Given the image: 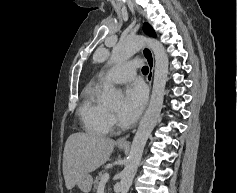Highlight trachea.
Returning a JSON list of instances; mask_svg holds the SVG:
<instances>
[{
	"label": "trachea",
	"instance_id": "trachea-1",
	"mask_svg": "<svg viewBox=\"0 0 237 193\" xmlns=\"http://www.w3.org/2000/svg\"><path fill=\"white\" fill-rule=\"evenodd\" d=\"M142 72H143L144 74H148V72H149L148 67H147V66H144V67L142 68Z\"/></svg>",
	"mask_w": 237,
	"mask_h": 193
}]
</instances>
